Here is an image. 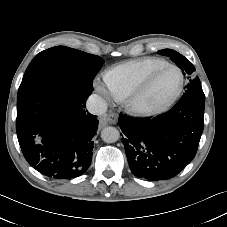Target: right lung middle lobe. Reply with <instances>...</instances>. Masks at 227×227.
<instances>
[{
  "mask_svg": "<svg viewBox=\"0 0 227 227\" xmlns=\"http://www.w3.org/2000/svg\"><path fill=\"white\" fill-rule=\"evenodd\" d=\"M103 59L66 46H56L37 54L25 71L17 100L50 85L93 90V79Z\"/></svg>",
  "mask_w": 227,
  "mask_h": 227,
  "instance_id": "obj_1",
  "label": "right lung middle lobe"
}]
</instances>
